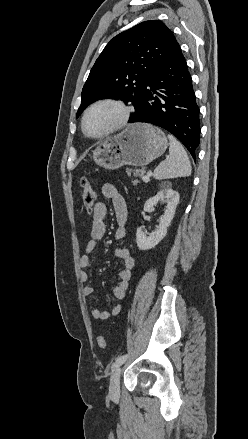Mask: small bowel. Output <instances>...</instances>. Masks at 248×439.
I'll use <instances>...</instances> for the list:
<instances>
[{"label":"small bowel","instance_id":"obj_1","mask_svg":"<svg viewBox=\"0 0 248 439\" xmlns=\"http://www.w3.org/2000/svg\"><path fill=\"white\" fill-rule=\"evenodd\" d=\"M102 194L105 198L109 199L114 207L116 221L118 227L115 231V239L120 242L126 235V222H127V204L123 195L112 184H104L102 187ZM107 214V207L103 202H97L93 210L92 226L90 231V239L85 246V255L80 258L79 265L82 271L80 272V280L82 283L89 281V274L85 271L91 264L90 254L95 252L98 243L103 239L106 226L105 217ZM115 256L122 261L123 268L117 272L118 282L113 286L112 293L116 299H123L126 291L129 287L130 279L132 276V270L135 266V260L131 256L130 251L126 247H117L115 249ZM93 287L85 285L82 288L83 296H91L93 294ZM121 312V305H115L111 311L100 310L96 307L90 309V314L94 319L107 320L112 316H117Z\"/></svg>","mask_w":248,"mask_h":439}]
</instances>
